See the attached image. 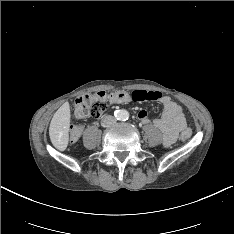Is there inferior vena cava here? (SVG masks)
<instances>
[{
    "label": "inferior vena cava",
    "mask_w": 234,
    "mask_h": 234,
    "mask_svg": "<svg viewBox=\"0 0 234 234\" xmlns=\"http://www.w3.org/2000/svg\"><path fill=\"white\" fill-rule=\"evenodd\" d=\"M115 122H116V119L113 116L107 115L101 120V125L103 127H109L113 125Z\"/></svg>",
    "instance_id": "602c4592"
}]
</instances>
